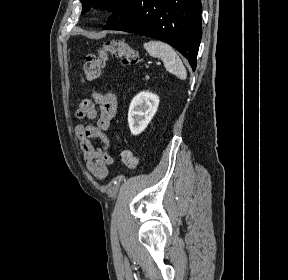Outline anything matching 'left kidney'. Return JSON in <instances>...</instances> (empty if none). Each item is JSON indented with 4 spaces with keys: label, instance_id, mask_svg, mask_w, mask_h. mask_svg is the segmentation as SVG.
Segmentation results:
<instances>
[{
    "label": "left kidney",
    "instance_id": "obj_1",
    "mask_svg": "<svg viewBox=\"0 0 288 280\" xmlns=\"http://www.w3.org/2000/svg\"><path fill=\"white\" fill-rule=\"evenodd\" d=\"M158 105V95L149 91L140 92L132 99L128 111V124L133 135H138L146 129Z\"/></svg>",
    "mask_w": 288,
    "mask_h": 280
}]
</instances>
